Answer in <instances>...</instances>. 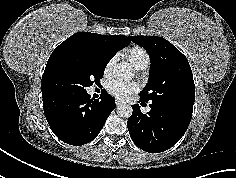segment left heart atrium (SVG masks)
Masks as SVG:
<instances>
[{
  "label": "left heart atrium",
  "instance_id": "left-heart-atrium-1",
  "mask_svg": "<svg viewBox=\"0 0 236 178\" xmlns=\"http://www.w3.org/2000/svg\"><path fill=\"white\" fill-rule=\"evenodd\" d=\"M138 88L139 86L136 82L120 81L117 79L110 80L106 86L109 94L120 100L129 98V96L136 92Z\"/></svg>",
  "mask_w": 236,
  "mask_h": 178
}]
</instances>
